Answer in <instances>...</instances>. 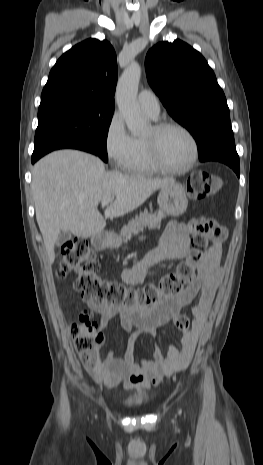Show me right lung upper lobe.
Returning a JSON list of instances; mask_svg holds the SVG:
<instances>
[{"instance_id":"obj_1","label":"right lung upper lobe","mask_w":263,"mask_h":465,"mask_svg":"<svg viewBox=\"0 0 263 465\" xmlns=\"http://www.w3.org/2000/svg\"><path fill=\"white\" fill-rule=\"evenodd\" d=\"M116 54L107 41L85 40L64 53L51 69L41 103L74 99L114 107Z\"/></svg>"}]
</instances>
